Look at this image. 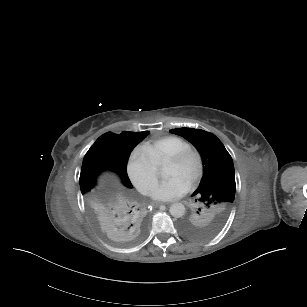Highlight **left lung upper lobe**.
I'll use <instances>...</instances> for the list:
<instances>
[{"instance_id": "left-lung-upper-lobe-1", "label": "left lung upper lobe", "mask_w": 307, "mask_h": 307, "mask_svg": "<svg viewBox=\"0 0 307 307\" xmlns=\"http://www.w3.org/2000/svg\"><path fill=\"white\" fill-rule=\"evenodd\" d=\"M172 133L183 136L200 152L203 177L195 196L196 208L180 223L184 235L204 240L216 235L226 222L235 198L233 161L222 142L201 129L176 128Z\"/></svg>"}]
</instances>
